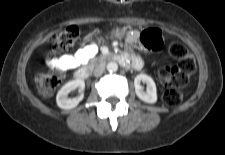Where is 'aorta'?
Returning a JSON list of instances; mask_svg holds the SVG:
<instances>
[{"instance_id": "aorta-1", "label": "aorta", "mask_w": 225, "mask_h": 155, "mask_svg": "<svg viewBox=\"0 0 225 155\" xmlns=\"http://www.w3.org/2000/svg\"><path fill=\"white\" fill-rule=\"evenodd\" d=\"M109 72H116L118 70V64L116 62H109L106 66Z\"/></svg>"}]
</instances>
